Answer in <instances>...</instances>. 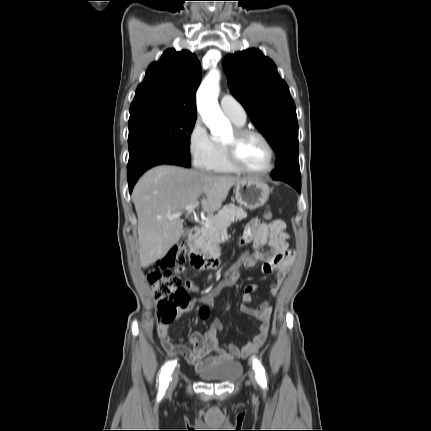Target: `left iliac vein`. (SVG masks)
<instances>
[{
    "instance_id": "obj_1",
    "label": "left iliac vein",
    "mask_w": 431,
    "mask_h": 431,
    "mask_svg": "<svg viewBox=\"0 0 431 431\" xmlns=\"http://www.w3.org/2000/svg\"><path fill=\"white\" fill-rule=\"evenodd\" d=\"M249 378H250V381H251L252 385L255 386V377H254V373L253 372L249 373Z\"/></svg>"
}]
</instances>
